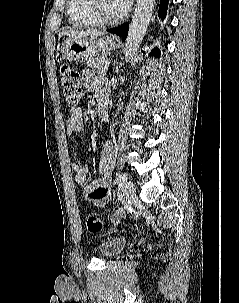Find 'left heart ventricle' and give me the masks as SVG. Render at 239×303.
Wrapping results in <instances>:
<instances>
[{"label": "left heart ventricle", "mask_w": 239, "mask_h": 303, "mask_svg": "<svg viewBox=\"0 0 239 303\" xmlns=\"http://www.w3.org/2000/svg\"><path fill=\"white\" fill-rule=\"evenodd\" d=\"M101 5L104 13L109 17L118 16L124 11L116 0H101Z\"/></svg>", "instance_id": "b2bd125f"}]
</instances>
